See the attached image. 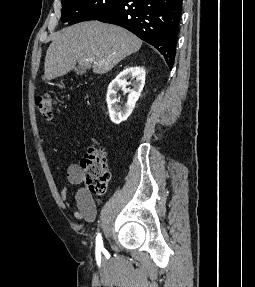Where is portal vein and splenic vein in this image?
<instances>
[{"mask_svg": "<svg viewBox=\"0 0 255 287\" xmlns=\"http://www.w3.org/2000/svg\"><path fill=\"white\" fill-rule=\"evenodd\" d=\"M87 62H94L93 58H88Z\"/></svg>", "mask_w": 255, "mask_h": 287, "instance_id": "obj_1", "label": "portal vein and splenic vein"}]
</instances>
